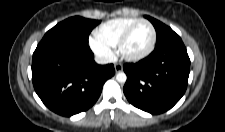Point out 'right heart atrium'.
I'll list each match as a JSON object with an SVG mask.
<instances>
[{"instance_id":"right-heart-atrium-1","label":"right heart atrium","mask_w":225,"mask_h":132,"mask_svg":"<svg viewBox=\"0 0 225 132\" xmlns=\"http://www.w3.org/2000/svg\"><path fill=\"white\" fill-rule=\"evenodd\" d=\"M90 46L95 54L104 60H110L113 57L112 49L96 38L90 39Z\"/></svg>"}]
</instances>
